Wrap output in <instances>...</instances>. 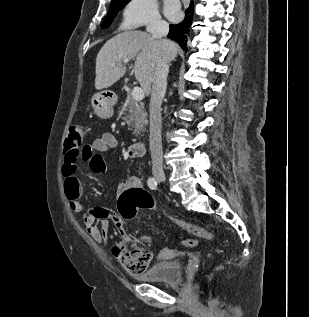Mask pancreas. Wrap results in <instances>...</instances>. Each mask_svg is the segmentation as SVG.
I'll return each instance as SVG.
<instances>
[{"label":"pancreas","mask_w":309,"mask_h":317,"mask_svg":"<svg viewBox=\"0 0 309 317\" xmlns=\"http://www.w3.org/2000/svg\"><path fill=\"white\" fill-rule=\"evenodd\" d=\"M120 114L125 115L124 120L129 127L134 129V135L138 136L145 130L148 123L147 112L143 104L138 103L130 94L127 95Z\"/></svg>","instance_id":"pancreas-1"}]
</instances>
